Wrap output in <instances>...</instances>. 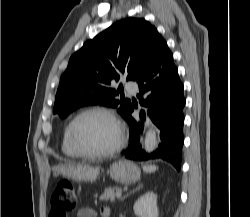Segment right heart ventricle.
Segmentation results:
<instances>
[{"label":"right heart ventricle","mask_w":250,"mask_h":217,"mask_svg":"<svg viewBox=\"0 0 250 217\" xmlns=\"http://www.w3.org/2000/svg\"><path fill=\"white\" fill-rule=\"evenodd\" d=\"M61 149L63 153L71 158H77L79 157L78 154L75 152V150L71 147L68 139V126L64 129L63 136H62V142H61Z\"/></svg>","instance_id":"obj_1"}]
</instances>
